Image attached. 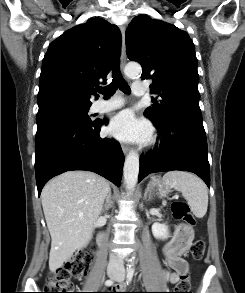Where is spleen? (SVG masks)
<instances>
[{
  "mask_svg": "<svg viewBox=\"0 0 245 293\" xmlns=\"http://www.w3.org/2000/svg\"><path fill=\"white\" fill-rule=\"evenodd\" d=\"M164 182L182 193L191 211L197 218H203L208 207V191L205 183L189 172L170 171L163 176Z\"/></svg>",
  "mask_w": 245,
  "mask_h": 293,
  "instance_id": "obj_1",
  "label": "spleen"
}]
</instances>
